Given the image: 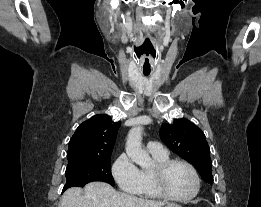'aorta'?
Segmentation results:
<instances>
[{
  "mask_svg": "<svg viewBox=\"0 0 261 207\" xmlns=\"http://www.w3.org/2000/svg\"><path fill=\"white\" fill-rule=\"evenodd\" d=\"M142 132L141 126L133 127L128 133L125 149L128 157L145 169L152 166L153 162L149 154L142 148Z\"/></svg>",
  "mask_w": 261,
  "mask_h": 207,
  "instance_id": "1",
  "label": "aorta"
}]
</instances>
